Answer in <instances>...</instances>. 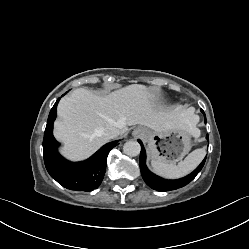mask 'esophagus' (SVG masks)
Segmentation results:
<instances>
[{"mask_svg":"<svg viewBox=\"0 0 249 249\" xmlns=\"http://www.w3.org/2000/svg\"><path fill=\"white\" fill-rule=\"evenodd\" d=\"M144 129L142 127H137L133 130L132 135L134 136V138H141L144 136Z\"/></svg>","mask_w":249,"mask_h":249,"instance_id":"1","label":"esophagus"}]
</instances>
